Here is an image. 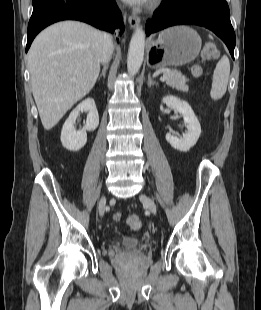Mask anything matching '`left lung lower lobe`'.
<instances>
[{
    "label": "left lung lower lobe",
    "mask_w": 261,
    "mask_h": 310,
    "mask_svg": "<svg viewBox=\"0 0 261 310\" xmlns=\"http://www.w3.org/2000/svg\"><path fill=\"white\" fill-rule=\"evenodd\" d=\"M180 24H195L212 30L225 42L234 58L236 38L226 0H163L146 23V34Z\"/></svg>",
    "instance_id": "obj_1"
}]
</instances>
